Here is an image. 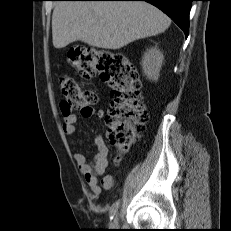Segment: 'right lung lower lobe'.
Listing matches in <instances>:
<instances>
[{"mask_svg":"<svg viewBox=\"0 0 231 231\" xmlns=\"http://www.w3.org/2000/svg\"><path fill=\"white\" fill-rule=\"evenodd\" d=\"M88 1H146L166 13L188 36L189 13L193 0H88Z\"/></svg>","mask_w":231,"mask_h":231,"instance_id":"1","label":"right lung lower lobe"}]
</instances>
